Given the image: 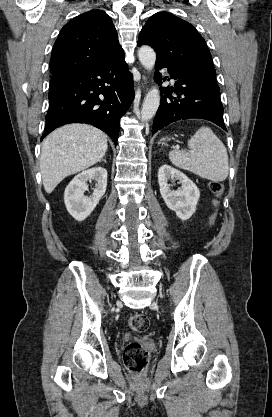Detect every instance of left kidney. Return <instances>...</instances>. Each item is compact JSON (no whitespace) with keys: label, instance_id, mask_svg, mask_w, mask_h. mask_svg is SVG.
Instances as JSON below:
<instances>
[{"label":"left kidney","instance_id":"1","mask_svg":"<svg viewBox=\"0 0 272 417\" xmlns=\"http://www.w3.org/2000/svg\"><path fill=\"white\" fill-rule=\"evenodd\" d=\"M174 178L181 183L178 190H171L168 184V180ZM158 183L166 206L181 220H188L195 212L200 197L197 186L184 173L166 164L159 168Z\"/></svg>","mask_w":272,"mask_h":417}]
</instances>
